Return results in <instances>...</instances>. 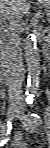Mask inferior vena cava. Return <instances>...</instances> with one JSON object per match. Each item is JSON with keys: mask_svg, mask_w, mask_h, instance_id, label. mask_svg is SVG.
Returning a JSON list of instances; mask_svg holds the SVG:
<instances>
[{"mask_svg": "<svg viewBox=\"0 0 50 148\" xmlns=\"http://www.w3.org/2000/svg\"><path fill=\"white\" fill-rule=\"evenodd\" d=\"M4 19L5 28L2 33V49L12 68L9 98L11 100H18L21 97V85L24 78V68L20 57L19 37L21 14L19 12L7 13Z\"/></svg>", "mask_w": 50, "mask_h": 148, "instance_id": "602c4592", "label": "inferior vena cava"}]
</instances>
